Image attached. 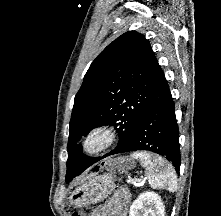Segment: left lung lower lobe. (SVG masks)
<instances>
[{
	"mask_svg": "<svg viewBox=\"0 0 221 216\" xmlns=\"http://www.w3.org/2000/svg\"><path fill=\"white\" fill-rule=\"evenodd\" d=\"M174 109L168 84L163 71L159 69L150 105L138 122L131 140L125 146L112 150L102 157L93 158L84 155L85 163L82 172L107 156L148 150L165 156L168 160L172 161L179 173L181 163L178 142L179 130Z\"/></svg>",
	"mask_w": 221,
	"mask_h": 216,
	"instance_id": "1",
	"label": "left lung lower lobe"
}]
</instances>
